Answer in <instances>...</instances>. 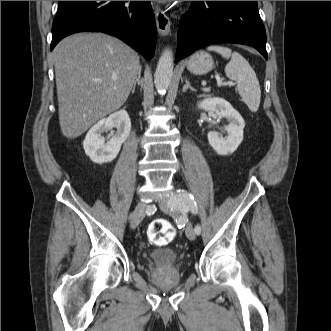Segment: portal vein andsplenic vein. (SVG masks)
Listing matches in <instances>:
<instances>
[{
  "mask_svg": "<svg viewBox=\"0 0 331 331\" xmlns=\"http://www.w3.org/2000/svg\"><path fill=\"white\" fill-rule=\"evenodd\" d=\"M225 84L232 85L233 83L232 82H223V79L222 78H217V85L218 86H222V85H225Z\"/></svg>",
  "mask_w": 331,
  "mask_h": 331,
  "instance_id": "obj_1",
  "label": "portal vein and splenic vein"
}]
</instances>
